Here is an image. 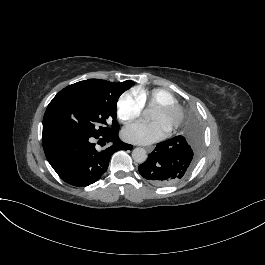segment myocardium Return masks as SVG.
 I'll list each match as a JSON object with an SVG mask.
<instances>
[{"label": "myocardium", "mask_w": 265, "mask_h": 265, "mask_svg": "<svg viewBox=\"0 0 265 265\" xmlns=\"http://www.w3.org/2000/svg\"><path fill=\"white\" fill-rule=\"evenodd\" d=\"M154 109L163 113L175 112L167 127L170 131L177 129L183 123L185 116L184 109L177 102H164L157 105Z\"/></svg>", "instance_id": "1"}]
</instances>
